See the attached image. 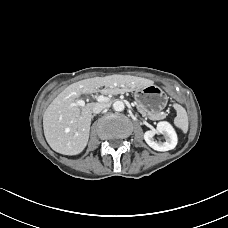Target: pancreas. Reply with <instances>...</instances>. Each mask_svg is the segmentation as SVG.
Masks as SVG:
<instances>
[{"instance_id": "cf45deb5", "label": "pancreas", "mask_w": 228, "mask_h": 228, "mask_svg": "<svg viewBox=\"0 0 228 228\" xmlns=\"http://www.w3.org/2000/svg\"><path fill=\"white\" fill-rule=\"evenodd\" d=\"M135 109H137V111H140V113L143 116H147L148 118H150L151 120H161L166 118L167 114L164 112H156V113H151V112H144L143 109L138 108V106H135Z\"/></svg>"}]
</instances>
